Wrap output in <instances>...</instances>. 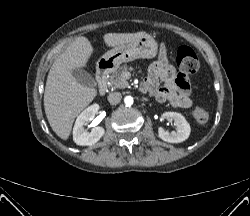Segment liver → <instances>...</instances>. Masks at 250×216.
<instances>
[{
	"label": "liver",
	"mask_w": 250,
	"mask_h": 216,
	"mask_svg": "<svg viewBox=\"0 0 250 216\" xmlns=\"http://www.w3.org/2000/svg\"><path fill=\"white\" fill-rule=\"evenodd\" d=\"M146 32L107 33L103 41L108 47H119L138 40ZM93 54L86 37H78L55 60L47 77L44 92V109L52 130L67 140L78 114L97 95V90L78 83L73 76L75 69L85 67Z\"/></svg>",
	"instance_id": "1"
}]
</instances>
